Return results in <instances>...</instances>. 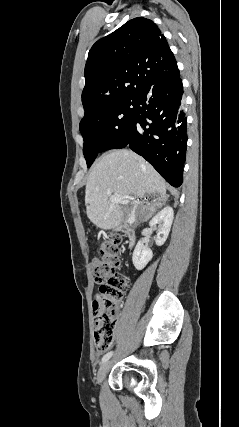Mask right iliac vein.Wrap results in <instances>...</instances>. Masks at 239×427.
I'll return each instance as SVG.
<instances>
[{
    "label": "right iliac vein",
    "instance_id": "obj_1",
    "mask_svg": "<svg viewBox=\"0 0 239 427\" xmlns=\"http://www.w3.org/2000/svg\"><path fill=\"white\" fill-rule=\"evenodd\" d=\"M109 366H110V362H108V361L104 362L100 366V368L98 370V373H97V383L98 384H101L102 381L104 380V378H105V376L107 374V371L109 369Z\"/></svg>",
    "mask_w": 239,
    "mask_h": 427
}]
</instances>
